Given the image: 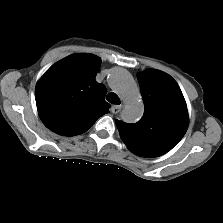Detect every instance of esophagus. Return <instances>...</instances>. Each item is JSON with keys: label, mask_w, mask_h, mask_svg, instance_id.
Here are the masks:
<instances>
[{"label": "esophagus", "mask_w": 223, "mask_h": 223, "mask_svg": "<svg viewBox=\"0 0 223 223\" xmlns=\"http://www.w3.org/2000/svg\"><path fill=\"white\" fill-rule=\"evenodd\" d=\"M120 110H121V105H113V106L111 107V112H112L113 114H117V113H119Z\"/></svg>", "instance_id": "esophagus-1"}]
</instances>
